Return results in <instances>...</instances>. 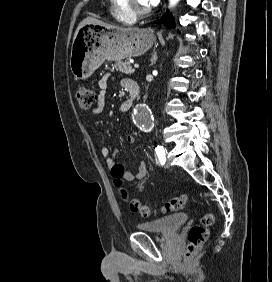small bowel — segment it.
I'll return each mask as SVG.
<instances>
[{
  "instance_id": "small-bowel-1",
  "label": "small bowel",
  "mask_w": 272,
  "mask_h": 282,
  "mask_svg": "<svg viewBox=\"0 0 272 282\" xmlns=\"http://www.w3.org/2000/svg\"><path fill=\"white\" fill-rule=\"evenodd\" d=\"M108 79L109 77H105L99 82L100 93L98 96L97 105L91 111L94 115H99L104 110L105 96H106V92L108 89ZM122 86L125 87L124 82H122ZM127 141L131 144L135 143L136 136L134 134H129L127 136ZM101 152H102V155L105 157L107 166L109 168H114L116 166L114 155L117 153V150L114 151L113 156H109V149L107 147H103ZM147 172H148L147 163L144 160H142L139 162L138 173L136 175H132L130 172L125 171L123 177L125 181L127 182H132L135 180H142L147 175Z\"/></svg>"
}]
</instances>
